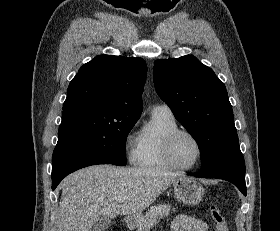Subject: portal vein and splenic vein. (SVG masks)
<instances>
[{
    "label": "portal vein and splenic vein",
    "instance_id": "1",
    "mask_svg": "<svg viewBox=\"0 0 280 231\" xmlns=\"http://www.w3.org/2000/svg\"><path fill=\"white\" fill-rule=\"evenodd\" d=\"M119 201H124V199H119Z\"/></svg>",
    "mask_w": 280,
    "mask_h": 231
}]
</instances>
